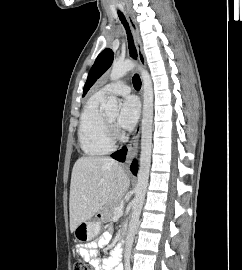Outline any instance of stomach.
Wrapping results in <instances>:
<instances>
[{
  "label": "stomach",
  "instance_id": "obj_1",
  "mask_svg": "<svg viewBox=\"0 0 242 270\" xmlns=\"http://www.w3.org/2000/svg\"><path fill=\"white\" fill-rule=\"evenodd\" d=\"M100 219H90L80 223L74 230L75 241L88 242L94 239L100 232Z\"/></svg>",
  "mask_w": 242,
  "mask_h": 270
}]
</instances>
